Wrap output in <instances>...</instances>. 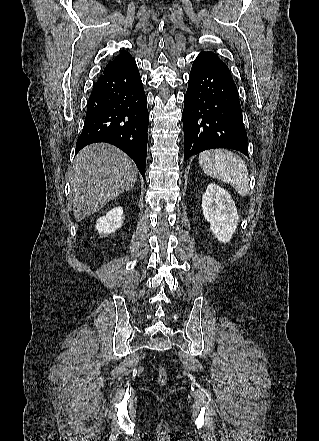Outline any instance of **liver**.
<instances>
[{"instance_id":"liver-1","label":"liver","mask_w":319,"mask_h":441,"mask_svg":"<svg viewBox=\"0 0 319 441\" xmlns=\"http://www.w3.org/2000/svg\"><path fill=\"white\" fill-rule=\"evenodd\" d=\"M137 175L132 159L113 145L96 143L82 149L69 170V202L76 221L95 214L131 190Z\"/></svg>"}]
</instances>
